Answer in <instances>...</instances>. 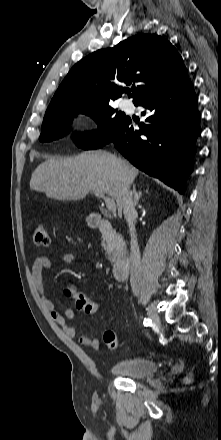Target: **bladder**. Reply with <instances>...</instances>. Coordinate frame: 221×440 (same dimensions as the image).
Returning a JSON list of instances; mask_svg holds the SVG:
<instances>
[{"label":"bladder","instance_id":"bladder-1","mask_svg":"<svg viewBox=\"0 0 221 440\" xmlns=\"http://www.w3.org/2000/svg\"><path fill=\"white\" fill-rule=\"evenodd\" d=\"M158 369L156 360L147 357H136L113 363L109 371L117 376L131 379H142L153 375Z\"/></svg>","mask_w":221,"mask_h":440}]
</instances>
